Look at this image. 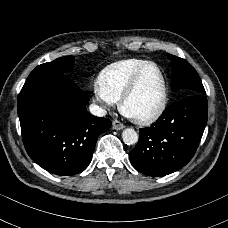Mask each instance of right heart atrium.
<instances>
[{
  "label": "right heart atrium",
  "mask_w": 228,
  "mask_h": 228,
  "mask_svg": "<svg viewBox=\"0 0 228 228\" xmlns=\"http://www.w3.org/2000/svg\"><path fill=\"white\" fill-rule=\"evenodd\" d=\"M94 100L99 103L104 108H110L113 106L114 102L104 97L97 88L94 90Z\"/></svg>",
  "instance_id": "obj_1"
}]
</instances>
